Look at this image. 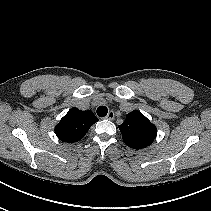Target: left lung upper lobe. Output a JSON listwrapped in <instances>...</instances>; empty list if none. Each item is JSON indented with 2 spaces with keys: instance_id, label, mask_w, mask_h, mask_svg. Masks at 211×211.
Here are the masks:
<instances>
[{
  "instance_id": "5c2ea615",
  "label": "left lung upper lobe",
  "mask_w": 211,
  "mask_h": 211,
  "mask_svg": "<svg viewBox=\"0 0 211 211\" xmlns=\"http://www.w3.org/2000/svg\"><path fill=\"white\" fill-rule=\"evenodd\" d=\"M123 141L133 149H142L154 141L156 127L138 110L126 115V120L119 126Z\"/></svg>"
}]
</instances>
